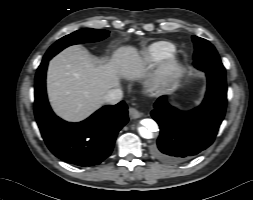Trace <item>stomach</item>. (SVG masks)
I'll return each instance as SVG.
<instances>
[{
	"instance_id": "stomach-1",
	"label": "stomach",
	"mask_w": 253,
	"mask_h": 200,
	"mask_svg": "<svg viewBox=\"0 0 253 200\" xmlns=\"http://www.w3.org/2000/svg\"><path fill=\"white\" fill-rule=\"evenodd\" d=\"M178 86V81L175 80L174 83H173V88H176Z\"/></svg>"
}]
</instances>
